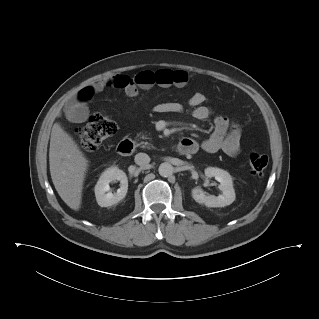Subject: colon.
I'll return each mask as SVG.
<instances>
[{"label":"colon","instance_id":"5ec220e1","mask_svg":"<svg viewBox=\"0 0 319 319\" xmlns=\"http://www.w3.org/2000/svg\"><path fill=\"white\" fill-rule=\"evenodd\" d=\"M117 132L114 120L102 114H94L78 130L80 146L86 151H95L109 137ZM268 165V157L259 152L249 154V166L254 175L261 176Z\"/></svg>","mask_w":319,"mask_h":319}]
</instances>
